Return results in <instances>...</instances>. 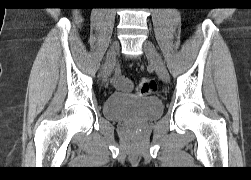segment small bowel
Masks as SVG:
<instances>
[{
    "label": "small bowel",
    "instance_id": "c3829d8e",
    "mask_svg": "<svg viewBox=\"0 0 251 180\" xmlns=\"http://www.w3.org/2000/svg\"><path fill=\"white\" fill-rule=\"evenodd\" d=\"M74 19L77 24H79L81 22V17L79 14H75ZM115 86L118 89L125 91V90H129L131 88V82L128 79L118 75L115 78Z\"/></svg>",
    "mask_w": 251,
    "mask_h": 180
}]
</instances>
